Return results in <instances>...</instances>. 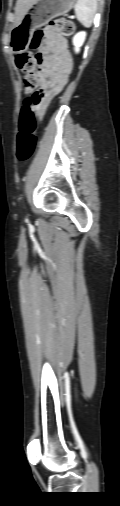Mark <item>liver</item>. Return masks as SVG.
Wrapping results in <instances>:
<instances>
[{
  "label": "liver",
  "instance_id": "obj_1",
  "mask_svg": "<svg viewBox=\"0 0 120 506\" xmlns=\"http://www.w3.org/2000/svg\"><path fill=\"white\" fill-rule=\"evenodd\" d=\"M37 0H17L15 7V25L18 24L28 11V9L36 2Z\"/></svg>",
  "mask_w": 120,
  "mask_h": 506
}]
</instances>
